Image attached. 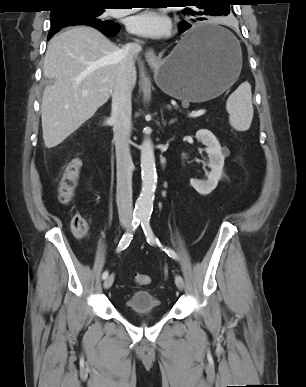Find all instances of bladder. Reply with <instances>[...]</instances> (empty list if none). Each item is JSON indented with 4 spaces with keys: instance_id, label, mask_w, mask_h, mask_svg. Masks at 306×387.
I'll return each instance as SVG.
<instances>
[{
    "instance_id": "1",
    "label": "bladder",
    "mask_w": 306,
    "mask_h": 387,
    "mask_svg": "<svg viewBox=\"0 0 306 387\" xmlns=\"http://www.w3.org/2000/svg\"><path fill=\"white\" fill-rule=\"evenodd\" d=\"M126 311L135 316L143 314L161 315L163 307L161 301L148 291L133 293L124 303Z\"/></svg>"
}]
</instances>
